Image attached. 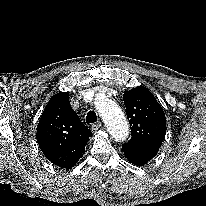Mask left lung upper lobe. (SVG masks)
Here are the masks:
<instances>
[{"label":"left lung upper lobe","mask_w":206,"mask_h":206,"mask_svg":"<svg viewBox=\"0 0 206 206\" xmlns=\"http://www.w3.org/2000/svg\"><path fill=\"white\" fill-rule=\"evenodd\" d=\"M132 132L122 149L157 154L166 133L165 113L153 94L138 86L123 94Z\"/></svg>","instance_id":"5c2ea615"}]
</instances>
